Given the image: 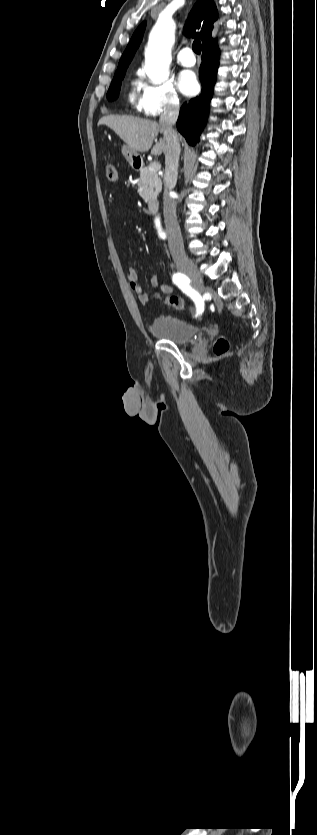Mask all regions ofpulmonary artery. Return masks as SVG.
<instances>
[{
  "mask_svg": "<svg viewBox=\"0 0 317 835\" xmlns=\"http://www.w3.org/2000/svg\"><path fill=\"white\" fill-rule=\"evenodd\" d=\"M178 61L182 66L192 67L196 63L195 56L190 47H184L178 53Z\"/></svg>",
  "mask_w": 317,
  "mask_h": 835,
  "instance_id": "1",
  "label": "pulmonary artery"
}]
</instances>
